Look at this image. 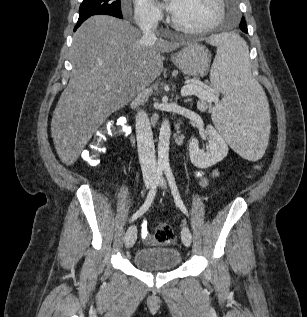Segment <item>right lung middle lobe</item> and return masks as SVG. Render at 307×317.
Instances as JSON below:
<instances>
[{"mask_svg":"<svg viewBox=\"0 0 307 317\" xmlns=\"http://www.w3.org/2000/svg\"><path fill=\"white\" fill-rule=\"evenodd\" d=\"M99 14L122 18L120 0H83L79 8V20Z\"/></svg>","mask_w":307,"mask_h":317,"instance_id":"1","label":"right lung middle lobe"}]
</instances>
